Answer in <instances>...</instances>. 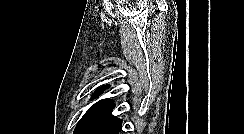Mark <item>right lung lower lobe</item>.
Wrapping results in <instances>:
<instances>
[{"label":"right lung lower lobe","mask_w":244,"mask_h":134,"mask_svg":"<svg viewBox=\"0 0 244 134\" xmlns=\"http://www.w3.org/2000/svg\"><path fill=\"white\" fill-rule=\"evenodd\" d=\"M121 130V123L119 124V126L114 130V132L112 134H119Z\"/></svg>","instance_id":"right-lung-lower-lobe-1"}]
</instances>
